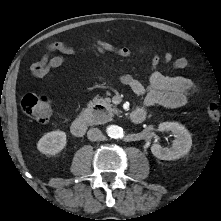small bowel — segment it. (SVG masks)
<instances>
[{
  "label": "small bowel",
  "instance_id": "1",
  "mask_svg": "<svg viewBox=\"0 0 221 221\" xmlns=\"http://www.w3.org/2000/svg\"><path fill=\"white\" fill-rule=\"evenodd\" d=\"M105 45L107 50L122 58H130L133 54L127 47H112L106 43ZM55 51H60L66 55L76 53L74 47L59 41L47 43L44 55L30 66L34 77L39 79L47 78L52 69L58 68L65 63L66 57L64 55L51 56V53ZM139 52L143 53L144 50L141 49ZM161 63H171L172 70L185 69L190 66L186 58L173 60L170 52L165 53L163 58L153 54L151 58L152 73L149 76L147 87L130 74H124L120 77V81L124 85L129 86L136 95L144 96L142 106L140 107L144 111L155 105L170 108L182 107L187 104L189 97L197 90L196 85L190 79L160 72L158 67Z\"/></svg>",
  "mask_w": 221,
  "mask_h": 221
}]
</instances>
